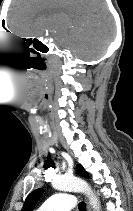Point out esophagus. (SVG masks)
Segmentation results:
<instances>
[{"mask_svg":"<svg viewBox=\"0 0 133 211\" xmlns=\"http://www.w3.org/2000/svg\"><path fill=\"white\" fill-rule=\"evenodd\" d=\"M87 211H91V207L88 203H87Z\"/></svg>","mask_w":133,"mask_h":211,"instance_id":"1","label":"esophagus"}]
</instances>
